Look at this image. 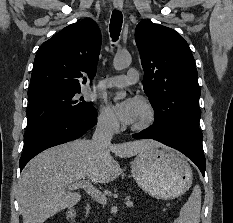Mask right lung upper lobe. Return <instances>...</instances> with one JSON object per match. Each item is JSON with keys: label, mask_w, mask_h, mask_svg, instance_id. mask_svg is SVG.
<instances>
[{"label": "right lung upper lobe", "mask_w": 233, "mask_h": 223, "mask_svg": "<svg viewBox=\"0 0 233 223\" xmlns=\"http://www.w3.org/2000/svg\"><path fill=\"white\" fill-rule=\"evenodd\" d=\"M101 33L91 19L71 24L38 49L28 94L56 87H80L97 70Z\"/></svg>", "instance_id": "obj_1"}]
</instances>
